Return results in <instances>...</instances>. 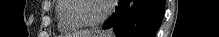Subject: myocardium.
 <instances>
[{
    "label": "myocardium",
    "mask_w": 219,
    "mask_h": 37,
    "mask_svg": "<svg viewBox=\"0 0 219 37\" xmlns=\"http://www.w3.org/2000/svg\"><path fill=\"white\" fill-rule=\"evenodd\" d=\"M86 1H93V0H75V6L73 9V16L75 17V19L79 21L84 27H96L104 23L109 17V14L111 12V3L109 1L103 2L105 8L102 15L95 20H89L85 18L82 14L83 3Z\"/></svg>",
    "instance_id": "f54148a6"
}]
</instances>
